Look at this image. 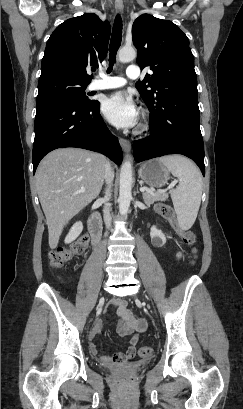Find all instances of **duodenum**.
I'll return each instance as SVG.
<instances>
[{
	"label": "duodenum",
	"instance_id": "1",
	"mask_svg": "<svg viewBox=\"0 0 243 409\" xmlns=\"http://www.w3.org/2000/svg\"><path fill=\"white\" fill-rule=\"evenodd\" d=\"M89 232L93 245H97L102 233V220L98 213H93L88 220Z\"/></svg>",
	"mask_w": 243,
	"mask_h": 409
}]
</instances>
